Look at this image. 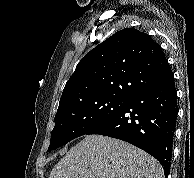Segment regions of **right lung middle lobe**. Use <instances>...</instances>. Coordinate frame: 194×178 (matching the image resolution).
<instances>
[{
  "mask_svg": "<svg viewBox=\"0 0 194 178\" xmlns=\"http://www.w3.org/2000/svg\"><path fill=\"white\" fill-rule=\"evenodd\" d=\"M127 100L119 97L98 96L74 101L59 108L55 115V127L51 132L48 151L85 135L116 112Z\"/></svg>",
  "mask_w": 194,
  "mask_h": 178,
  "instance_id": "dd1d6c3e",
  "label": "right lung middle lobe"
}]
</instances>
